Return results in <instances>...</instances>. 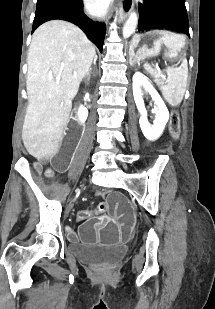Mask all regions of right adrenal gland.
Masks as SVG:
<instances>
[{
    "instance_id": "2a0ac1e0",
    "label": "right adrenal gland",
    "mask_w": 215,
    "mask_h": 309,
    "mask_svg": "<svg viewBox=\"0 0 215 309\" xmlns=\"http://www.w3.org/2000/svg\"><path fill=\"white\" fill-rule=\"evenodd\" d=\"M97 58H98L97 54H94L93 64H96ZM91 70H92V68H89L88 72H86V76H90Z\"/></svg>"
}]
</instances>
